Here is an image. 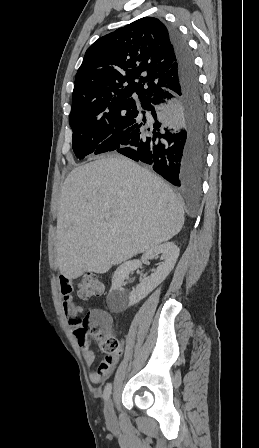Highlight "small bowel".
<instances>
[{"instance_id": "small-bowel-1", "label": "small bowel", "mask_w": 259, "mask_h": 448, "mask_svg": "<svg viewBox=\"0 0 259 448\" xmlns=\"http://www.w3.org/2000/svg\"><path fill=\"white\" fill-rule=\"evenodd\" d=\"M59 283L63 295V307L66 316L69 319V324L77 329L79 324V316L83 314V307L74 303L72 297V281L64 276H60ZM83 359L87 366H92L95 362V354L90 347L89 341H79ZM119 360V356H106L100 365L90 372L89 378L93 383H101L107 379L114 371Z\"/></svg>"}]
</instances>
